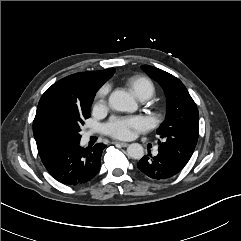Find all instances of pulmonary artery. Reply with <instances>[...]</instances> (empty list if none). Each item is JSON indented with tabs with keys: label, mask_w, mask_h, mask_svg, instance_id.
<instances>
[{
	"label": "pulmonary artery",
	"mask_w": 241,
	"mask_h": 241,
	"mask_svg": "<svg viewBox=\"0 0 241 241\" xmlns=\"http://www.w3.org/2000/svg\"><path fill=\"white\" fill-rule=\"evenodd\" d=\"M141 100H146V99H141ZM85 136H88V134H86Z\"/></svg>",
	"instance_id": "pulmonary-artery-1"
}]
</instances>
